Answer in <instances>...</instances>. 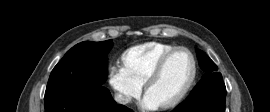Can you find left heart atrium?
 <instances>
[{
	"label": "left heart atrium",
	"mask_w": 270,
	"mask_h": 112,
	"mask_svg": "<svg viewBox=\"0 0 270 112\" xmlns=\"http://www.w3.org/2000/svg\"><path fill=\"white\" fill-rule=\"evenodd\" d=\"M141 106L144 109L156 110L161 106V104L149 93H146L142 100Z\"/></svg>",
	"instance_id": "39dd6f15"
}]
</instances>
